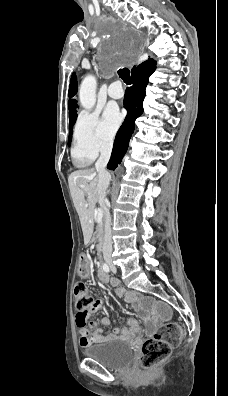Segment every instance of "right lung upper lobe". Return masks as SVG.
Returning a JSON list of instances; mask_svg holds the SVG:
<instances>
[{
	"mask_svg": "<svg viewBox=\"0 0 228 396\" xmlns=\"http://www.w3.org/2000/svg\"><path fill=\"white\" fill-rule=\"evenodd\" d=\"M134 66L131 72L136 68ZM77 93V79L75 73H73L71 80H70V87H69V98H72ZM75 107H77L76 100L70 99L69 100V113L76 112Z\"/></svg>",
	"mask_w": 228,
	"mask_h": 396,
	"instance_id": "obj_1",
	"label": "right lung upper lobe"
}]
</instances>
